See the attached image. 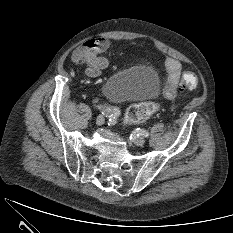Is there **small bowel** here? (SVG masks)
Instances as JSON below:
<instances>
[{
  "label": "small bowel",
  "instance_id": "obj_1",
  "mask_svg": "<svg viewBox=\"0 0 233 233\" xmlns=\"http://www.w3.org/2000/svg\"><path fill=\"white\" fill-rule=\"evenodd\" d=\"M90 44L95 45L97 49V54L94 57H89L86 52L87 46ZM109 47L110 42L106 38H97L94 40H90L84 46L77 48L73 52L72 61L75 64L85 62L87 64L86 74L92 78L98 77L108 66V60L98 54L107 51ZM164 64L168 77L163 93L167 99L172 100L176 97L177 88L181 81L182 65L178 60L172 57H166Z\"/></svg>",
  "mask_w": 233,
  "mask_h": 233
}]
</instances>
